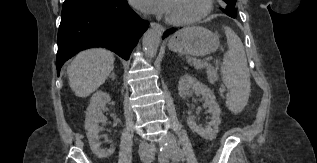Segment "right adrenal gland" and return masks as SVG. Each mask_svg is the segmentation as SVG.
Wrapping results in <instances>:
<instances>
[{
    "mask_svg": "<svg viewBox=\"0 0 317 163\" xmlns=\"http://www.w3.org/2000/svg\"><path fill=\"white\" fill-rule=\"evenodd\" d=\"M109 77L114 81L115 80V72L112 71Z\"/></svg>",
    "mask_w": 317,
    "mask_h": 163,
    "instance_id": "obj_1",
    "label": "right adrenal gland"
}]
</instances>
